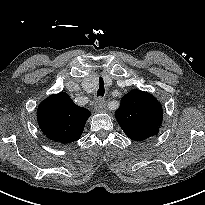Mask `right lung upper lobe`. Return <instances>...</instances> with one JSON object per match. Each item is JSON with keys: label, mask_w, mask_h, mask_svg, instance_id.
I'll return each instance as SVG.
<instances>
[{"label": "right lung upper lobe", "mask_w": 205, "mask_h": 205, "mask_svg": "<svg viewBox=\"0 0 205 205\" xmlns=\"http://www.w3.org/2000/svg\"><path fill=\"white\" fill-rule=\"evenodd\" d=\"M90 112L76 105L64 92L51 95L38 107L37 120L42 132L61 143L77 141Z\"/></svg>", "instance_id": "1"}]
</instances>
